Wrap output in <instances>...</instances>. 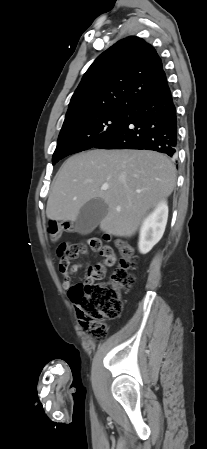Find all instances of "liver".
Wrapping results in <instances>:
<instances>
[{"label": "liver", "instance_id": "obj_1", "mask_svg": "<svg viewBox=\"0 0 207 449\" xmlns=\"http://www.w3.org/2000/svg\"><path fill=\"white\" fill-rule=\"evenodd\" d=\"M176 168L161 153L147 150H89L67 159L55 176L46 215L76 221L81 207L99 198L108 206L100 229L131 237L148 211L171 195ZM108 184L107 190L101 186Z\"/></svg>", "mask_w": 207, "mask_h": 449}]
</instances>
